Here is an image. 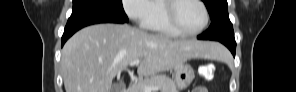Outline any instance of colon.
Instances as JSON below:
<instances>
[{
  "label": "colon",
  "mask_w": 296,
  "mask_h": 92,
  "mask_svg": "<svg viewBox=\"0 0 296 92\" xmlns=\"http://www.w3.org/2000/svg\"><path fill=\"white\" fill-rule=\"evenodd\" d=\"M214 68L211 66H207L199 71V74L204 79H210L213 76ZM193 92H208L206 87L200 86L193 89Z\"/></svg>",
  "instance_id": "colon-1"
}]
</instances>
